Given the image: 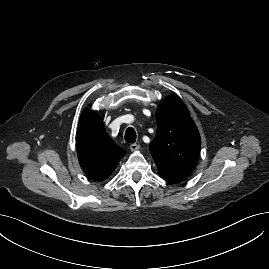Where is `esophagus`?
I'll list each match as a JSON object with an SVG mask.
<instances>
[{
	"label": "esophagus",
	"instance_id": "esophagus-1",
	"mask_svg": "<svg viewBox=\"0 0 269 269\" xmlns=\"http://www.w3.org/2000/svg\"><path fill=\"white\" fill-rule=\"evenodd\" d=\"M140 148V146L138 144H131L130 145V150L131 151H137Z\"/></svg>",
	"mask_w": 269,
	"mask_h": 269
}]
</instances>
